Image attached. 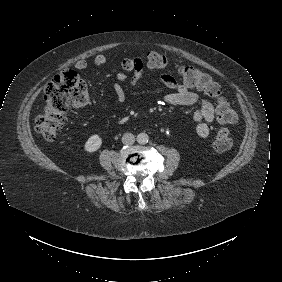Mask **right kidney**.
Masks as SVG:
<instances>
[{
    "instance_id": "1",
    "label": "right kidney",
    "mask_w": 282,
    "mask_h": 282,
    "mask_svg": "<svg viewBox=\"0 0 282 282\" xmlns=\"http://www.w3.org/2000/svg\"><path fill=\"white\" fill-rule=\"evenodd\" d=\"M102 146V137L98 134L91 135L84 143L83 150L86 153H95Z\"/></svg>"
}]
</instances>
